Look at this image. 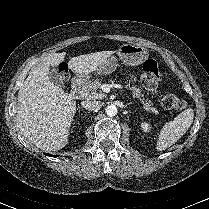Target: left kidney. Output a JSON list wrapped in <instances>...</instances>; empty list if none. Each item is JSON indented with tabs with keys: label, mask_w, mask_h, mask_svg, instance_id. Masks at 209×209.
Here are the masks:
<instances>
[{
	"label": "left kidney",
	"mask_w": 209,
	"mask_h": 209,
	"mask_svg": "<svg viewBox=\"0 0 209 209\" xmlns=\"http://www.w3.org/2000/svg\"><path fill=\"white\" fill-rule=\"evenodd\" d=\"M141 128L143 129L144 132H147V131L150 130V125L148 123H146V122H143L141 124Z\"/></svg>",
	"instance_id": "left-kidney-1"
}]
</instances>
